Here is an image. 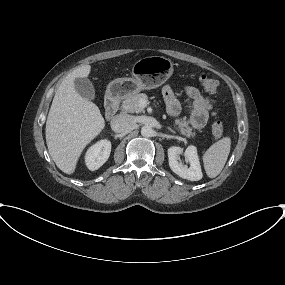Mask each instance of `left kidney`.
Instances as JSON below:
<instances>
[{
    "label": "left kidney",
    "mask_w": 285,
    "mask_h": 285,
    "mask_svg": "<svg viewBox=\"0 0 285 285\" xmlns=\"http://www.w3.org/2000/svg\"><path fill=\"white\" fill-rule=\"evenodd\" d=\"M183 153V149L172 146L168 149V160L171 170L183 179L190 181H199L202 179L201 165L195 146H188L184 152V156L190 166H183L179 163V155Z\"/></svg>",
    "instance_id": "1"
}]
</instances>
